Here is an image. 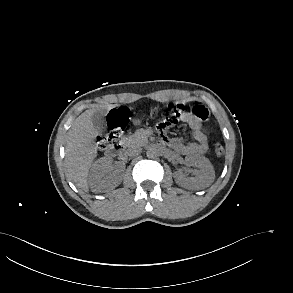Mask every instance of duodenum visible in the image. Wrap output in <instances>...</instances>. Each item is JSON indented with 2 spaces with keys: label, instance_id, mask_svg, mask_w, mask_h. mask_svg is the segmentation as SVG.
Here are the masks:
<instances>
[{
  "label": "duodenum",
  "instance_id": "obj_1",
  "mask_svg": "<svg viewBox=\"0 0 293 293\" xmlns=\"http://www.w3.org/2000/svg\"><path fill=\"white\" fill-rule=\"evenodd\" d=\"M127 141L125 138L120 139L111 149L107 151L109 156L117 157L125 152Z\"/></svg>",
  "mask_w": 293,
  "mask_h": 293
}]
</instances>
